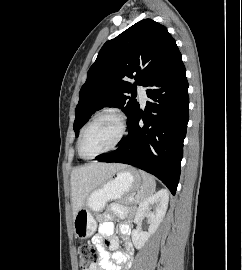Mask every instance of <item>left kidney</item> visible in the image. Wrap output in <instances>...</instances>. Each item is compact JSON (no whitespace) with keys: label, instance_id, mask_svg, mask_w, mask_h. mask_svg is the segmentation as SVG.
Here are the masks:
<instances>
[{"label":"left kidney","instance_id":"1","mask_svg":"<svg viewBox=\"0 0 242 270\" xmlns=\"http://www.w3.org/2000/svg\"><path fill=\"white\" fill-rule=\"evenodd\" d=\"M168 201V191L166 189H161L139 204L135 216V222L138 223L141 219L146 217L150 221V226L148 231H142L140 229H135L132 231V241L137 249H141L148 241L150 236L156 232L166 214Z\"/></svg>","mask_w":242,"mask_h":270}]
</instances>
